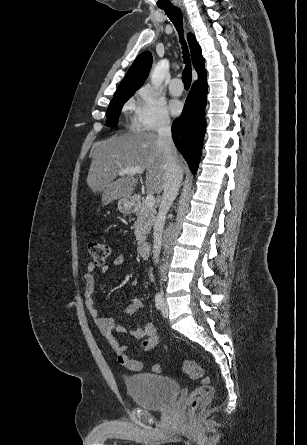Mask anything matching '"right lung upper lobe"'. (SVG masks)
I'll return each instance as SVG.
<instances>
[{
    "instance_id": "1",
    "label": "right lung upper lobe",
    "mask_w": 307,
    "mask_h": 445,
    "mask_svg": "<svg viewBox=\"0 0 307 445\" xmlns=\"http://www.w3.org/2000/svg\"><path fill=\"white\" fill-rule=\"evenodd\" d=\"M188 41L191 49L193 65L199 74L205 71V60L202 57L201 48L192 34H188ZM151 64V53L148 51L141 53L135 59L134 63L121 81L111 102L128 97L130 98L134 94V92L138 90L144 83L151 68Z\"/></svg>"
}]
</instances>
